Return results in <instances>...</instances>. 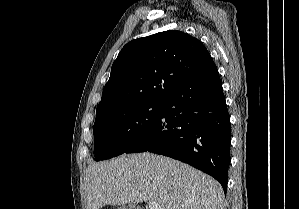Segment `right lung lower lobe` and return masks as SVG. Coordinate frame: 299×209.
Segmentation results:
<instances>
[{"mask_svg":"<svg viewBox=\"0 0 299 209\" xmlns=\"http://www.w3.org/2000/svg\"><path fill=\"white\" fill-rule=\"evenodd\" d=\"M230 115L217 69L198 72L164 102L161 115L125 153L149 151L217 179L226 193L231 161Z\"/></svg>","mask_w":299,"mask_h":209,"instance_id":"1","label":"right lung lower lobe"}]
</instances>
